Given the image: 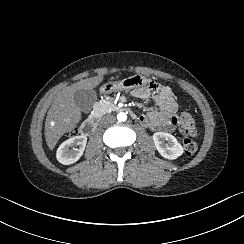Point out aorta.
<instances>
[{
	"instance_id": "762f6f07",
	"label": "aorta",
	"mask_w": 244,
	"mask_h": 244,
	"mask_svg": "<svg viewBox=\"0 0 244 244\" xmlns=\"http://www.w3.org/2000/svg\"><path fill=\"white\" fill-rule=\"evenodd\" d=\"M117 119L119 122L126 121L127 115L123 112L117 114Z\"/></svg>"
}]
</instances>
